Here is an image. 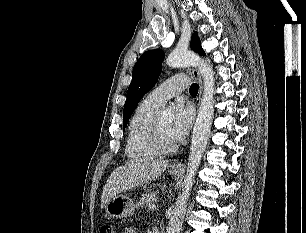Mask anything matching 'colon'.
<instances>
[{
  "mask_svg": "<svg viewBox=\"0 0 306 233\" xmlns=\"http://www.w3.org/2000/svg\"><path fill=\"white\" fill-rule=\"evenodd\" d=\"M100 233H115L113 225L105 223L100 228Z\"/></svg>",
  "mask_w": 306,
  "mask_h": 233,
  "instance_id": "1",
  "label": "colon"
}]
</instances>
